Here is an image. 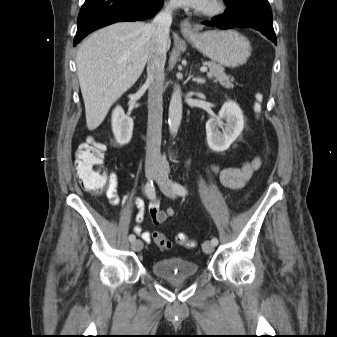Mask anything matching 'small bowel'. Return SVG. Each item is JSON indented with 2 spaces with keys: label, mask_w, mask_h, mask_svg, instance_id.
Masks as SVG:
<instances>
[{
  "label": "small bowel",
  "mask_w": 337,
  "mask_h": 337,
  "mask_svg": "<svg viewBox=\"0 0 337 337\" xmlns=\"http://www.w3.org/2000/svg\"><path fill=\"white\" fill-rule=\"evenodd\" d=\"M261 166V158L255 156L249 161H245L240 167H227L220 169L217 164L211 163L210 169L212 173L218 176L221 184L229 189L238 190L241 189L245 183L250 179L252 174L259 169ZM118 178L114 172L109 175L108 186L105 191V195L112 206L124 205L128 200H133L135 206L138 209L136 215V225L134 227V232L138 235L145 243H151L154 233L148 230L142 229V222L145 216V203L139 198H132L130 196H125L120 199L117 193ZM148 212L151 217L152 223L154 225H160L164 223L167 219L173 218L175 216V211L172 208L166 210H160L159 200L154 199L148 207Z\"/></svg>",
  "instance_id": "obj_1"
}]
</instances>
